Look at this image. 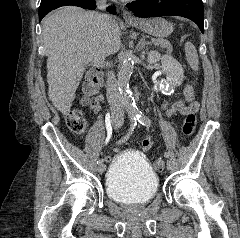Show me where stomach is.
Instances as JSON below:
<instances>
[{
    "instance_id": "1",
    "label": "stomach",
    "mask_w": 240,
    "mask_h": 238,
    "mask_svg": "<svg viewBox=\"0 0 240 238\" xmlns=\"http://www.w3.org/2000/svg\"><path fill=\"white\" fill-rule=\"evenodd\" d=\"M130 25L154 37H167L173 32V24L163 18L142 19Z\"/></svg>"
}]
</instances>
